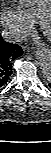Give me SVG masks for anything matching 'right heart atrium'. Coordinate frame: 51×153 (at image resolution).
Here are the masks:
<instances>
[{
    "label": "right heart atrium",
    "mask_w": 51,
    "mask_h": 153,
    "mask_svg": "<svg viewBox=\"0 0 51 153\" xmlns=\"http://www.w3.org/2000/svg\"><path fill=\"white\" fill-rule=\"evenodd\" d=\"M0 18L4 29L16 40L24 38L33 29V23L18 7L2 8Z\"/></svg>",
    "instance_id": "1"
}]
</instances>
